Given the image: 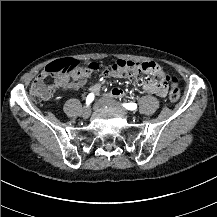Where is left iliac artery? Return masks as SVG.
Returning a JSON list of instances; mask_svg holds the SVG:
<instances>
[{"label": "left iliac artery", "instance_id": "44dca946", "mask_svg": "<svg viewBox=\"0 0 217 217\" xmlns=\"http://www.w3.org/2000/svg\"><path fill=\"white\" fill-rule=\"evenodd\" d=\"M123 107H125L126 109L132 111V110L137 109V104H136V103H133V102H131V103H124V104H123Z\"/></svg>", "mask_w": 217, "mask_h": 217}]
</instances>
